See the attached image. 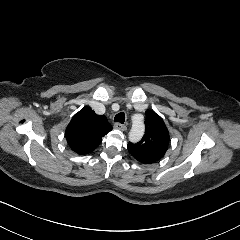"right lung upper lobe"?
Returning a JSON list of instances; mask_svg holds the SVG:
<instances>
[{"instance_id":"cb5924a9","label":"right lung upper lobe","mask_w":240,"mask_h":240,"mask_svg":"<svg viewBox=\"0 0 240 240\" xmlns=\"http://www.w3.org/2000/svg\"><path fill=\"white\" fill-rule=\"evenodd\" d=\"M111 130L105 116L96 115L89 107H84L73 116L65 135L71 149L84 155L97 148L102 137Z\"/></svg>"}]
</instances>
